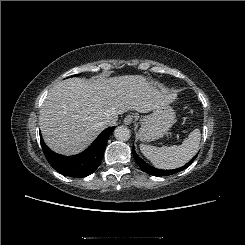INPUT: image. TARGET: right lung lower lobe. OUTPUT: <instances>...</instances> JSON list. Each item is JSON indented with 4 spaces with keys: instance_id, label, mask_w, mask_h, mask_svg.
<instances>
[{
    "instance_id": "obj_1",
    "label": "right lung lower lobe",
    "mask_w": 245,
    "mask_h": 245,
    "mask_svg": "<svg viewBox=\"0 0 245 245\" xmlns=\"http://www.w3.org/2000/svg\"><path fill=\"white\" fill-rule=\"evenodd\" d=\"M114 128H106L85 151L75 156L54 153L46 146L42 137L41 146L48 162L56 171L66 176L83 178L92 174L101 163L108 138Z\"/></svg>"
}]
</instances>
